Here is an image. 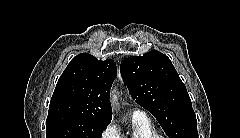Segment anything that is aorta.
<instances>
[{
    "instance_id": "aorta-1",
    "label": "aorta",
    "mask_w": 240,
    "mask_h": 138,
    "mask_svg": "<svg viewBox=\"0 0 240 138\" xmlns=\"http://www.w3.org/2000/svg\"><path fill=\"white\" fill-rule=\"evenodd\" d=\"M117 95L113 93V100L116 103Z\"/></svg>"
}]
</instances>
